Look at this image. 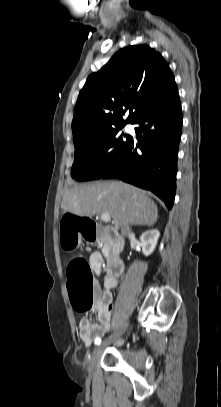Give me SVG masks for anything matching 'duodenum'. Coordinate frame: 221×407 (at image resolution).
<instances>
[{
  "label": "duodenum",
  "mask_w": 221,
  "mask_h": 407,
  "mask_svg": "<svg viewBox=\"0 0 221 407\" xmlns=\"http://www.w3.org/2000/svg\"><path fill=\"white\" fill-rule=\"evenodd\" d=\"M107 232L108 238L112 241V252L107 260V270L110 275L119 276L124 270V263L120 257L124 242L114 229L107 228Z\"/></svg>",
  "instance_id": "410a0bca"
}]
</instances>
